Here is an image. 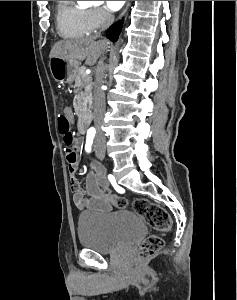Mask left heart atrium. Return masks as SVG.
<instances>
[{"instance_id": "39dd6f15", "label": "left heart atrium", "mask_w": 237, "mask_h": 300, "mask_svg": "<svg viewBox=\"0 0 237 300\" xmlns=\"http://www.w3.org/2000/svg\"><path fill=\"white\" fill-rule=\"evenodd\" d=\"M124 4L125 1H105L106 9L111 12H116L120 10Z\"/></svg>"}]
</instances>
